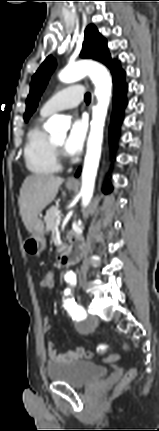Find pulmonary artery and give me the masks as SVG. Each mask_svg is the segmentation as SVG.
I'll return each instance as SVG.
<instances>
[{"label":"pulmonary artery","instance_id":"1","mask_svg":"<svg viewBox=\"0 0 159 431\" xmlns=\"http://www.w3.org/2000/svg\"><path fill=\"white\" fill-rule=\"evenodd\" d=\"M85 89L81 84L70 85L52 95L41 107V114L49 116L61 110L74 108L84 98Z\"/></svg>","mask_w":159,"mask_h":431}]
</instances>
